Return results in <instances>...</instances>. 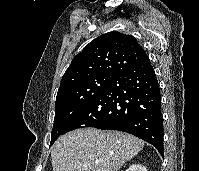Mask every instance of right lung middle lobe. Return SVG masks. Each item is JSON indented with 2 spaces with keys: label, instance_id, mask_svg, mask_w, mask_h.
Returning a JSON list of instances; mask_svg holds the SVG:
<instances>
[{
  "label": "right lung middle lobe",
  "instance_id": "1",
  "mask_svg": "<svg viewBox=\"0 0 199 171\" xmlns=\"http://www.w3.org/2000/svg\"><path fill=\"white\" fill-rule=\"evenodd\" d=\"M114 77L112 75L92 77L56 98L55 118L51 131L50 145L62 134L76 113Z\"/></svg>",
  "mask_w": 199,
  "mask_h": 171
}]
</instances>
